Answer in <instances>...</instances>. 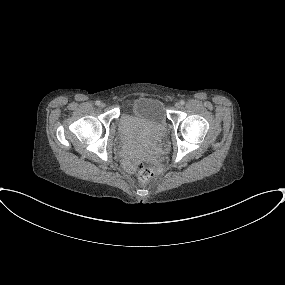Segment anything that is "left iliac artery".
I'll return each mask as SVG.
<instances>
[{
  "mask_svg": "<svg viewBox=\"0 0 285 285\" xmlns=\"http://www.w3.org/2000/svg\"><path fill=\"white\" fill-rule=\"evenodd\" d=\"M180 103H181V105H184V104H185L184 100H181Z\"/></svg>",
  "mask_w": 285,
  "mask_h": 285,
  "instance_id": "left-iliac-artery-1",
  "label": "left iliac artery"
}]
</instances>
